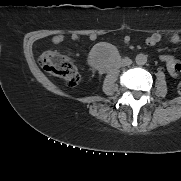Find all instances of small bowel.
I'll use <instances>...</instances> for the list:
<instances>
[{
	"instance_id": "1",
	"label": "small bowel",
	"mask_w": 181,
	"mask_h": 181,
	"mask_svg": "<svg viewBox=\"0 0 181 181\" xmlns=\"http://www.w3.org/2000/svg\"><path fill=\"white\" fill-rule=\"evenodd\" d=\"M73 40H77L78 36L73 35ZM162 40V35L160 33H153L150 36H148L145 40L146 44L149 46H154L157 43H159ZM64 41V36L62 34H57L52 37V43L55 45L61 44ZM168 41L170 43H180L181 38L178 34H172L169 36ZM130 42V37H125V43L128 44ZM161 60L166 64L168 73L176 78L181 73V62H179L177 59H175L171 55H163L161 56Z\"/></svg>"
}]
</instances>
